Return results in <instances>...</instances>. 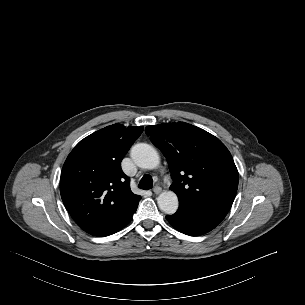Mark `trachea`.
<instances>
[{
  "mask_svg": "<svg viewBox=\"0 0 305 305\" xmlns=\"http://www.w3.org/2000/svg\"><path fill=\"white\" fill-rule=\"evenodd\" d=\"M152 185H153L152 177L150 175H144L141 178L138 187L140 189L148 190L152 188Z\"/></svg>",
  "mask_w": 305,
  "mask_h": 305,
  "instance_id": "3493384b",
  "label": "trachea"
}]
</instances>
